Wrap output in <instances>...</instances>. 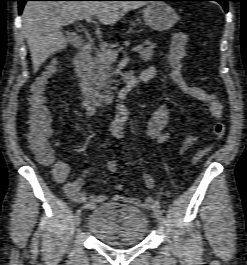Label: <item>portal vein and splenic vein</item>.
I'll return each mask as SVG.
<instances>
[{
	"label": "portal vein and splenic vein",
	"instance_id": "18ae733b",
	"mask_svg": "<svg viewBox=\"0 0 247 265\" xmlns=\"http://www.w3.org/2000/svg\"><path fill=\"white\" fill-rule=\"evenodd\" d=\"M85 19H86V22L87 23H90L91 22V17L88 16ZM100 48L104 52V54L106 55V57L108 59H110L112 61H116V59H117V53H113L110 50L106 49V47L104 45H100ZM142 49H143V45H138V46L132 48V51L138 52V51H140Z\"/></svg>",
	"mask_w": 247,
	"mask_h": 265
}]
</instances>
